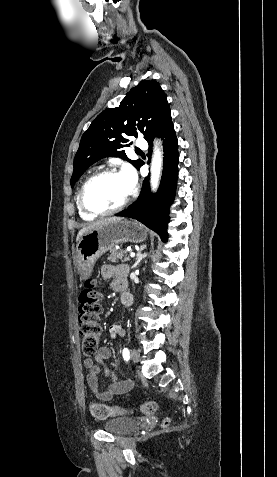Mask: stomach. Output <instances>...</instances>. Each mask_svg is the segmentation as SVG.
<instances>
[{"label": "stomach", "instance_id": "1", "mask_svg": "<svg viewBox=\"0 0 277 477\" xmlns=\"http://www.w3.org/2000/svg\"><path fill=\"white\" fill-rule=\"evenodd\" d=\"M147 235V230L133 220L105 222L84 233L77 241L75 252L80 279H87L97 259L115 245L144 242Z\"/></svg>", "mask_w": 277, "mask_h": 477}]
</instances>
